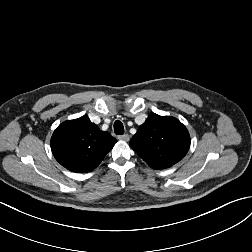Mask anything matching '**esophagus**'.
Listing matches in <instances>:
<instances>
[{"label": "esophagus", "instance_id": "esophagus-1", "mask_svg": "<svg viewBox=\"0 0 252 252\" xmlns=\"http://www.w3.org/2000/svg\"><path fill=\"white\" fill-rule=\"evenodd\" d=\"M118 139L122 141H129L130 136L128 134H124V135L118 136Z\"/></svg>", "mask_w": 252, "mask_h": 252}]
</instances>
